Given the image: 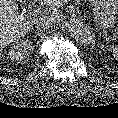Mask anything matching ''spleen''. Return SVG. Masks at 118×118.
Instances as JSON below:
<instances>
[{"mask_svg": "<svg viewBox=\"0 0 118 118\" xmlns=\"http://www.w3.org/2000/svg\"><path fill=\"white\" fill-rule=\"evenodd\" d=\"M112 53H113L114 58L118 61V45L113 47Z\"/></svg>", "mask_w": 118, "mask_h": 118, "instance_id": "3e777b00", "label": "spleen"}]
</instances>
